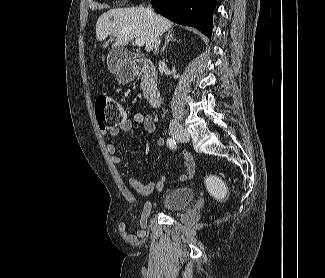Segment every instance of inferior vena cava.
Returning <instances> with one entry per match:
<instances>
[{
    "mask_svg": "<svg viewBox=\"0 0 325 278\" xmlns=\"http://www.w3.org/2000/svg\"><path fill=\"white\" fill-rule=\"evenodd\" d=\"M147 11H148V13L153 14V11H152V9L150 7L147 8ZM160 42H161V40L158 37L156 42H155V45H154L155 52H157V50L159 48V45H160Z\"/></svg>",
    "mask_w": 325,
    "mask_h": 278,
    "instance_id": "obj_1",
    "label": "inferior vena cava"
}]
</instances>
